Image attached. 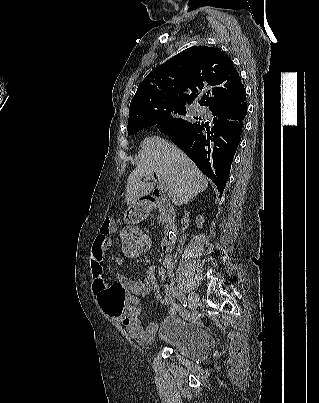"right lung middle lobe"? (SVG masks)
Returning <instances> with one entry per match:
<instances>
[{
	"mask_svg": "<svg viewBox=\"0 0 319 403\" xmlns=\"http://www.w3.org/2000/svg\"><path fill=\"white\" fill-rule=\"evenodd\" d=\"M172 113L184 115L186 113L185 105L167 104L148 109L141 116L128 121V135L155 124L165 134L182 131L194 124L183 118H172Z\"/></svg>",
	"mask_w": 319,
	"mask_h": 403,
	"instance_id": "dd1d6c3e",
	"label": "right lung middle lobe"
}]
</instances>
